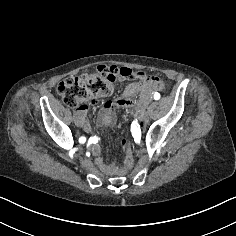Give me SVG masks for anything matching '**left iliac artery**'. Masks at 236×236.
<instances>
[{"instance_id": "44dca946", "label": "left iliac artery", "mask_w": 236, "mask_h": 236, "mask_svg": "<svg viewBox=\"0 0 236 236\" xmlns=\"http://www.w3.org/2000/svg\"><path fill=\"white\" fill-rule=\"evenodd\" d=\"M154 99L155 100H159L160 99V94L158 92H155Z\"/></svg>"}]
</instances>
